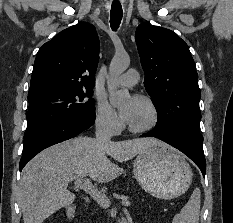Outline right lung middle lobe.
I'll return each mask as SVG.
<instances>
[{"label": "right lung middle lobe", "mask_w": 233, "mask_h": 223, "mask_svg": "<svg viewBox=\"0 0 233 223\" xmlns=\"http://www.w3.org/2000/svg\"><path fill=\"white\" fill-rule=\"evenodd\" d=\"M89 100L81 87L51 88L28 94V129L25 139L43 129L83 112H94L92 88H86Z\"/></svg>", "instance_id": "right-lung-middle-lobe-1"}]
</instances>
